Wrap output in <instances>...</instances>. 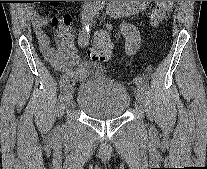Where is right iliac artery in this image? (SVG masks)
<instances>
[{"mask_svg": "<svg viewBox=\"0 0 207 169\" xmlns=\"http://www.w3.org/2000/svg\"><path fill=\"white\" fill-rule=\"evenodd\" d=\"M99 9H100V6L97 4H94L90 7L87 14L85 15L84 22H83L84 26L78 37V42L81 44V46H86L88 44L91 26H92V23H93V20L96 14H98L99 12ZM69 82H70V77L64 74L60 81L61 86H64L65 84H68Z\"/></svg>", "mask_w": 207, "mask_h": 169, "instance_id": "right-iliac-artery-1", "label": "right iliac artery"}]
</instances>
